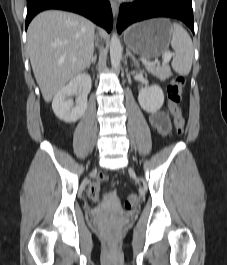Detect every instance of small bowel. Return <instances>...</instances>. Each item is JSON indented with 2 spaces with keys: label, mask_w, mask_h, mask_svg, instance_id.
Listing matches in <instances>:
<instances>
[{
  "label": "small bowel",
  "mask_w": 227,
  "mask_h": 265,
  "mask_svg": "<svg viewBox=\"0 0 227 265\" xmlns=\"http://www.w3.org/2000/svg\"><path fill=\"white\" fill-rule=\"evenodd\" d=\"M149 123L161 136H166L170 131V121L168 116L161 111L151 113L148 117Z\"/></svg>",
  "instance_id": "obj_1"
}]
</instances>
